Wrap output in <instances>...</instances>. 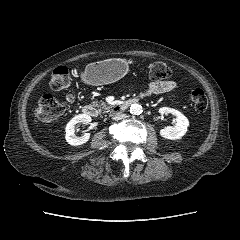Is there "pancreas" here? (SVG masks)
<instances>
[{"label": "pancreas", "instance_id": "cf45deb5", "mask_svg": "<svg viewBox=\"0 0 240 240\" xmlns=\"http://www.w3.org/2000/svg\"><path fill=\"white\" fill-rule=\"evenodd\" d=\"M93 106L100 108V110H109L110 106H108L105 102L95 101L93 102Z\"/></svg>", "mask_w": 240, "mask_h": 240}]
</instances>
